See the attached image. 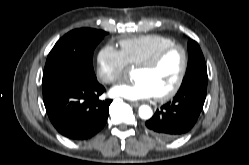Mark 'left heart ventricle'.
Listing matches in <instances>:
<instances>
[{
	"mask_svg": "<svg viewBox=\"0 0 249 165\" xmlns=\"http://www.w3.org/2000/svg\"><path fill=\"white\" fill-rule=\"evenodd\" d=\"M182 67V54L179 50L169 53L162 63L153 70L135 69L133 77L146 81L155 95L168 91L176 82Z\"/></svg>",
	"mask_w": 249,
	"mask_h": 165,
	"instance_id": "b2bd125f",
	"label": "left heart ventricle"
}]
</instances>
